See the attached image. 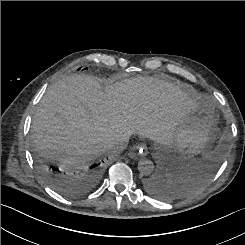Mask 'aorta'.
Listing matches in <instances>:
<instances>
[{"label": "aorta", "instance_id": "aorta-1", "mask_svg": "<svg viewBox=\"0 0 245 245\" xmlns=\"http://www.w3.org/2000/svg\"><path fill=\"white\" fill-rule=\"evenodd\" d=\"M138 170L142 175H150L154 171V164L151 160L143 158L138 162Z\"/></svg>", "mask_w": 245, "mask_h": 245}]
</instances>
